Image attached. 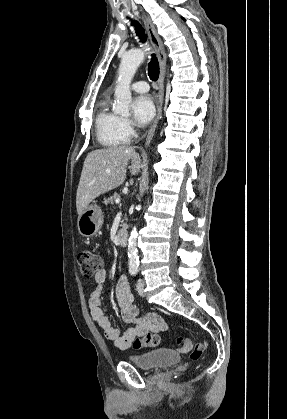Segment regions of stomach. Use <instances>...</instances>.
Masks as SVG:
<instances>
[{"label": "stomach", "mask_w": 287, "mask_h": 419, "mask_svg": "<svg viewBox=\"0 0 287 419\" xmlns=\"http://www.w3.org/2000/svg\"><path fill=\"white\" fill-rule=\"evenodd\" d=\"M103 223V213L97 204H89L78 217V231L84 237L97 235Z\"/></svg>", "instance_id": "stomach-1"}]
</instances>
